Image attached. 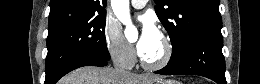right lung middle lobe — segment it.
<instances>
[{"instance_id":"dd1d6c3e","label":"right lung middle lobe","mask_w":260,"mask_h":84,"mask_svg":"<svg viewBox=\"0 0 260 84\" xmlns=\"http://www.w3.org/2000/svg\"><path fill=\"white\" fill-rule=\"evenodd\" d=\"M105 23L106 12H103L49 28L45 80H52L63 67L78 59L108 61Z\"/></svg>"}]
</instances>
